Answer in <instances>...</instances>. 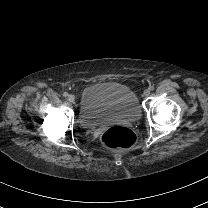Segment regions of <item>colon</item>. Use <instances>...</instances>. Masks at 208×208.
Returning a JSON list of instances; mask_svg holds the SVG:
<instances>
[{
    "label": "colon",
    "mask_w": 208,
    "mask_h": 208,
    "mask_svg": "<svg viewBox=\"0 0 208 208\" xmlns=\"http://www.w3.org/2000/svg\"><path fill=\"white\" fill-rule=\"evenodd\" d=\"M103 144L108 148H125L134 142L132 132L127 128L112 127L102 136Z\"/></svg>",
    "instance_id": "obj_1"
}]
</instances>
